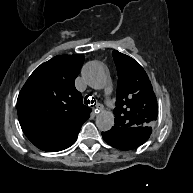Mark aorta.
<instances>
[{
	"mask_svg": "<svg viewBox=\"0 0 193 193\" xmlns=\"http://www.w3.org/2000/svg\"><path fill=\"white\" fill-rule=\"evenodd\" d=\"M82 76L93 89H101L106 82L104 68L96 61L85 64L82 69ZM95 123L100 131H108L114 125V114L110 111H102L97 115Z\"/></svg>",
	"mask_w": 193,
	"mask_h": 193,
	"instance_id": "obj_1",
	"label": "aorta"
}]
</instances>
